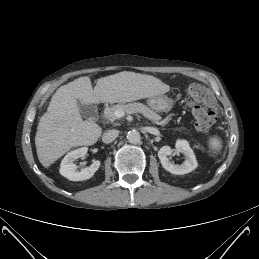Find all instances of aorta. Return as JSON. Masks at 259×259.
Instances as JSON below:
<instances>
[{
  "label": "aorta",
  "instance_id": "1",
  "mask_svg": "<svg viewBox=\"0 0 259 259\" xmlns=\"http://www.w3.org/2000/svg\"><path fill=\"white\" fill-rule=\"evenodd\" d=\"M140 133L136 130H131L127 133V140L132 144H137L140 142Z\"/></svg>",
  "mask_w": 259,
  "mask_h": 259
}]
</instances>
